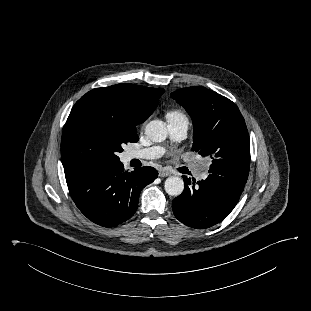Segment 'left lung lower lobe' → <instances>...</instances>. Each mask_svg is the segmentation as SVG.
<instances>
[{
  "instance_id": "0a47b994",
  "label": "left lung lower lobe",
  "mask_w": 311,
  "mask_h": 311,
  "mask_svg": "<svg viewBox=\"0 0 311 311\" xmlns=\"http://www.w3.org/2000/svg\"><path fill=\"white\" fill-rule=\"evenodd\" d=\"M184 183V191L173 199L172 209L180 222L196 229L209 228L227 217L245 186L217 174H209L197 185L184 177Z\"/></svg>"
}]
</instances>
